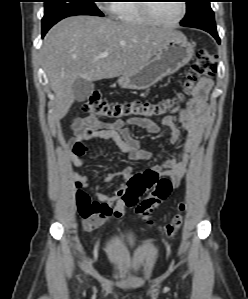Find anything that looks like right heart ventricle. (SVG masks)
<instances>
[{
  "label": "right heart ventricle",
  "instance_id": "e07e8e85",
  "mask_svg": "<svg viewBox=\"0 0 248 299\" xmlns=\"http://www.w3.org/2000/svg\"><path fill=\"white\" fill-rule=\"evenodd\" d=\"M131 1L123 0L111 5V12L116 17V19L126 25L131 26H149L151 23L143 13L141 5Z\"/></svg>",
  "mask_w": 248,
  "mask_h": 299
}]
</instances>
